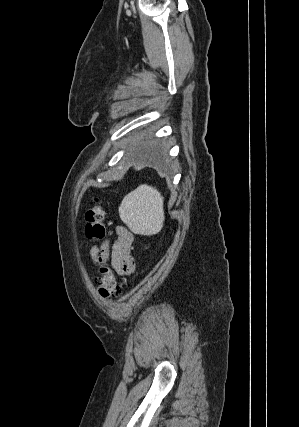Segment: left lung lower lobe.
I'll use <instances>...</instances> for the list:
<instances>
[{
    "mask_svg": "<svg viewBox=\"0 0 299 427\" xmlns=\"http://www.w3.org/2000/svg\"><path fill=\"white\" fill-rule=\"evenodd\" d=\"M144 159L148 162H151V163H158V162H161V160H162V158L160 156H158L156 154H150V153L146 154L144 156Z\"/></svg>",
    "mask_w": 299,
    "mask_h": 427,
    "instance_id": "left-lung-lower-lobe-1",
    "label": "left lung lower lobe"
}]
</instances>
